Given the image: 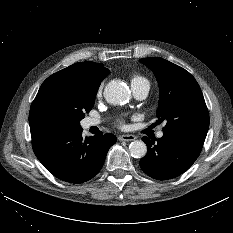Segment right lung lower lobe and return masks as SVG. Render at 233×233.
Listing matches in <instances>:
<instances>
[{
	"label": "right lung lower lobe",
	"mask_w": 233,
	"mask_h": 233,
	"mask_svg": "<svg viewBox=\"0 0 233 233\" xmlns=\"http://www.w3.org/2000/svg\"><path fill=\"white\" fill-rule=\"evenodd\" d=\"M39 161L57 178L83 183L102 168L116 136L107 133L83 138L82 128H48L31 133Z\"/></svg>",
	"instance_id": "1"
}]
</instances>
